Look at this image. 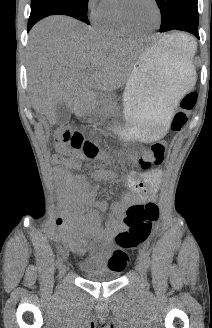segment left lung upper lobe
<instances>
[{"label": "left lung upper lobe", "instance_id": "5c2ea615", "mask_svg": "<svg viewBox=\"0 0 212 328\" xmlns=\"http://www.w3.org/2000/svg\"><path fill=\"white\" fill-rule=\"evenodd\" d=\"M198 0H156L161 11L160 31L186 25L198 28Z\"/></svg>", "mask_w": 212, "mask_h": 328}]
</instances>
